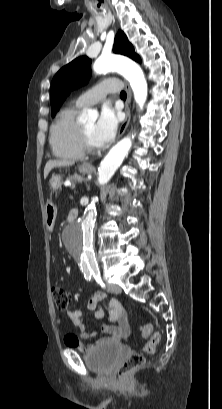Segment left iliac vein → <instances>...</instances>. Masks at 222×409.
I'll use <instances>...</instances> for the list:
<instances>
[{
	"instance_id": "obj_1",
	"label": "left iliac vein",
	"mask_w": 222,
	"mask_h": 409,
	"mask_svg": "<svg viewBox=\"0 0 222 409\" xmlns=\"http://www.w3.org/2000/svg\"><path fill=\"white\" fill-rule=\"evenodd\" d=\"M107 291L110 293H114V294H119L121 293V287L117 284L114 283H108L107 284Z\"/></svg>"
}]
</instances>
